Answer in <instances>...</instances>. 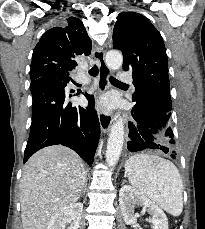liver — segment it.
I'll return each instance as SVG.
<instances>
[{"instance_id": "1", "label": "liver", "mask_w": 205, "mask_h": 229, "mask_svg": "<svg viewBox=\"0 0 205 229\" xmlns=\"http://www.w3.org/2000/svg\"><path fill=\"white\" fill-rule=\"evenodd\" d=\"M86 175L83 160L62 145L43 148L31 156L20 183L23 229H46L59 210L77 202Z\"/></svg>"}]
</instances>
